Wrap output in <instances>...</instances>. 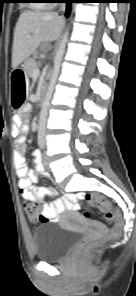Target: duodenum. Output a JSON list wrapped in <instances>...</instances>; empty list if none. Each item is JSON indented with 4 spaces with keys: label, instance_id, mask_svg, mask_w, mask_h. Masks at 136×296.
<instances>
[{
    "label": "duodenum",
    "instance_id": "duodenum-1",
    "mask_svg": "<svg viewBox=\"0 0 136 296\" xmlns=\"http://www.w3.org/2000/svg\"><path fill=\"white\" fill-rule=\"evenodd\" d=\"M42 101H43V96H40L38 102H39V103H42Z\"/></svg>",
    "mask_w": 136,
    "mask_h": 296
}]
</instances>
